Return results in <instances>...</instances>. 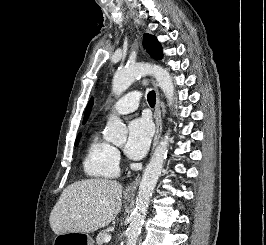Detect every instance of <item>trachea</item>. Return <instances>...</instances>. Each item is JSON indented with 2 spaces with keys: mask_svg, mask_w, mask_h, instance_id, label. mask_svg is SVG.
<instances>
[{
  "mask_svg": "<svg viewBox=\"0 0 266 245\" xmlns=\"http://www.w3.org/2000/svg\"><path fill=\"white\" fill-rule=\"evenodd\" d=\"M147 99H148V103L150 105H155V92L154 91H150L148 93Z\"/></svg>",
  "mask_w": 266,
  "mask_h": 245,
  "instance_id": "trachea-1",
  "label": "trachea"
}]
</instances>
